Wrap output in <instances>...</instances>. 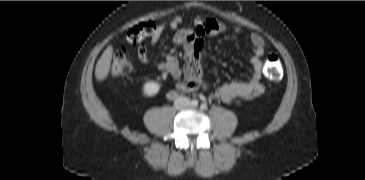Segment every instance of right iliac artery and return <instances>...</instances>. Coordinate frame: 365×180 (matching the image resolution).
I'll list each match as a JSON object with an SVG mask.
<instances>
[{
  "label": "right iliac artery",
  "mask_w": 365,
  "mask_h": 180,
  "mask_svg": "<svg viewBox=\"0 0 365 180\" xmlns=\"http://www.w3.org/2000/svg\"><path fill=\"white\" fill-rule=\"evenodd\" d=\"M191 105L194 107L198 106V101L196 99L192 100Z\"/></svg>",
  "instance_id": "obj_1"
}]
</instances>
